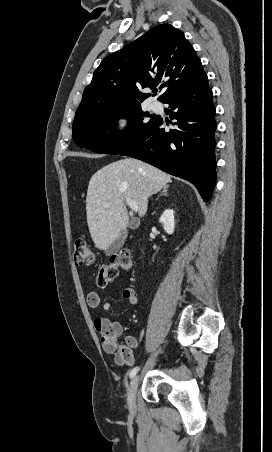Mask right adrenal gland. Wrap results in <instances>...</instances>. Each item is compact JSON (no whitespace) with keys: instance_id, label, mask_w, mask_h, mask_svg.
Here are the masks:
<instances>
[{"instance_id":"1","label":"right adrenal gland","mask_w":272,"mask_h":452,"mask_svg":"<svg viewBox=\"0 0 272 452\" xmlns=\"http://www.w3.org/2000/svg\"><path fill=\"white\" fill-rule=\"evenodd\" d=\"M167 189H168V185L164 186L161 194L157 197V199L162 195L167 196Z\"/></svg>"}]
</instances>
